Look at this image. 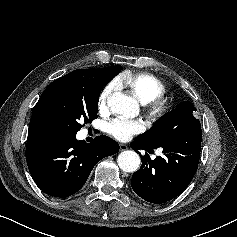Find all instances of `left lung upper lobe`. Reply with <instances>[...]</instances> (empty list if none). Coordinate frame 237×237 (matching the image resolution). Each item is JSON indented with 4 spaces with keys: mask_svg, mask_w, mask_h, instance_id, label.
<instances>
[{
    "mask_svg": "<svg viewBox=\"0 0 237 237\" xmlns=\"http://www.w3.org/2000/svg\"><path fill=\"white\" fill-rule=\"evenodd\" d=\"M195 111L197 109L191 102L183 101L174 111L162 116L151 129L137 138L153 148L174 141L199 121L194 116Z\"/></svg>",
    "mask_w": 237,
    "mask_h": 237,
    "instance_id": "obj_1",
    "label": "left lung upper lobe"
}]
</instances>
